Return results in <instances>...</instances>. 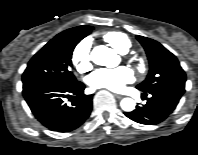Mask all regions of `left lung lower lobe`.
Segmentation results:
<instances>
[{
    "label": "left lung lower lobe",
    "instance_id": "0a47b994",
    "mask_svg": "<svg viewBox=\"0 0 198 155\" xmlns=\"http://www.w3.org/2000/svg\"><path fill=\"white\" fill-rule=\"evenodd\" d=\"M184 92L185 88L176 86H163L144 92L143 95L151 94L147 103L143 106H137L132 112H125L124 114L137 123L158 124L173 112Z\"/></svg>",
    "mask_w": 198,
    "mask_h": 155
}]
</instances>
